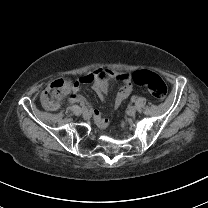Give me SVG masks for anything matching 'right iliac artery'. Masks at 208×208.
<instances>
[{"mask_svg": "<svg viewBox=\"0 0 208 208\" xmlns=\"http://www.w3.org/2000/svg\"><path fill=\"white\" fill-rule=\"evenodd\" d=\"M80 106L82 107V109L86 108L84 103H81Z\"/></svg>", "mask_w": 208, "mask_h": 208, "instance_id": "obj_1", "label": "right iliac artery"}]
</instances>
